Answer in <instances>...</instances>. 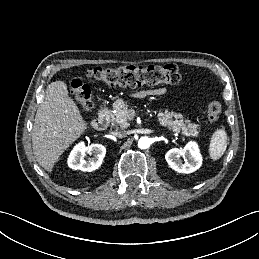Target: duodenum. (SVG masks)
Here are the masks:
<instances>
[{
	"instance_id": "410a0bca",
	"label": "duodenum",
	"mask_w": 259,
	"mask_h": 259,
	"mask_svg": "<svg viewBox=\"0 0 259 259\" xmlns=\"http://www.w3.org/2000/svg\"><path fill=\"white\" fill-rule=\"evenodd\" d=\"M110 122V116L106 109H102L96 119L92 122V127L95 130L101 131L107 128Z\"/></svg>"
}]
</instances>
